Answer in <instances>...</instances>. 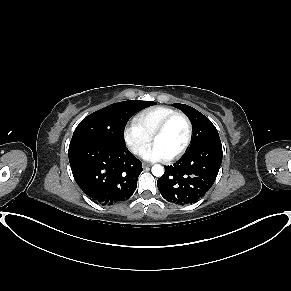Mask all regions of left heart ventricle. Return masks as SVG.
Instances as JSON below:
<instances>
[{"label": "left heart ventricle", "mask_w": 291, "mask_h": 291, "mask_svg": "<svg viewBox=\"0 0 291 291\" xmlns=\"http://www.w3.org/2000/svg\"><path fill=\"white\" fill-rule=\"evenodd\" d=\"M186 137V123L182 118L178 117L170 123L163 134L154 140V143L160 145L170 156H172L183 146Z\"/></svg>", "instance_id": "1"}]
</instances>
